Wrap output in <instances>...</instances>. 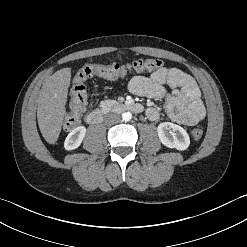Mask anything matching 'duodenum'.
I'll list each match as a JSON object with an SVG mask.
<instances>
[{
	"instance_id": "obj_1",
	"label": "duodenum",
	"mask_w": 247,
	"mask_h": 247,
	"mask_svg": "<svg viewBox=\"0 0 247 247\" xmlns=\"http://www.w3.org/2000/svg\"><path fill=\"white\" fill-rule=\"evenodd\" d=\"M113 108L117 111H132L135 113H141L143 111V107L140 104L131 102L120 103L114 105ZM104 112V109H95L91 111L86 117L87 123L91 125L99 124L103 119Z\"/></svg>"
}]
</instances>
